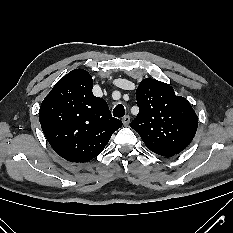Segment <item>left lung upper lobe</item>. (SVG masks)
<instances>
[{"mask_svg": "<svg viewBox=\"0 0 233 233\" xmlns=\"http://www.w3.org/2000/svg\"><path fill=\"white\" fill-rule=\"evenodd\" d=\"M139 113L130 127L154 153L172 157L192 141L198 117L190 103L173 88L152 78L143 79L136 90Z\"/></svg>", "mask_w": 233, "mask_h": 233, "instance_id": "5c2ea615", "label": "left lung upper lobe"}]
</instances>
